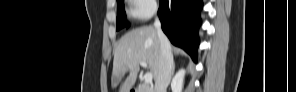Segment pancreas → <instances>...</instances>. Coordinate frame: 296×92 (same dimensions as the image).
<instances>
[{"instance_id":"cf45deb5","label":"pancreas","mask_w":296,"mask_h":92,"mask_svg":"<svg viewBox=\"0 0 296 92\" xmlns=\"http://www.w3.org/2000/svg\"><path fill=\"white\" fill-rule=\"evenodd\" d=\"M138 91L139 92H149L150 90H148V88L146 86L142 85Z\"/></svg>"}]
</instances>
